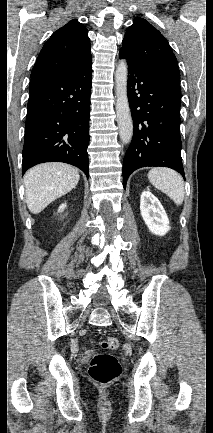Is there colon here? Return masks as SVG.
Here are the masks:
<instances>
[{
	"instance_id": "1",
	"label": "colon",
	"mask_w": 213,
	"mask_h": 433,
	"mask_svg": "<svg viewBox=\"0 0 213 433\" xmlns=\"http://www.w3.org/2000/svg\"><path fill=\"white\" fill-rule=\"evenodd\" d=\"M119 342L114 337H109L101 342V347L105 350H114ZM122 372V367L118 359L109 353H100L91 359L88 373L91 379L102 386L114 382Z\"/></svg>"
}]
</instances>
